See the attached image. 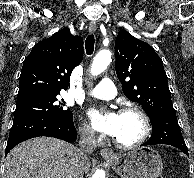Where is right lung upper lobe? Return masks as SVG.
<instances>
[{
    "mask_svg": "<svg viewBox=\"0 0 194 178\" xmlns=\"http://www.w3.org/2000/svg\"><path fill=\"white\" fill-rule=\"evenodd\" d=\"M83 58V40L63 28L38 42L25 58L17 101L60 94Z\"/></svg>",
    "mask_w": 194,
    "mask_h": 178,
    "instance_id": "cb5924a9",
    "label": "right lung upper lobe"
}]
</instances>
